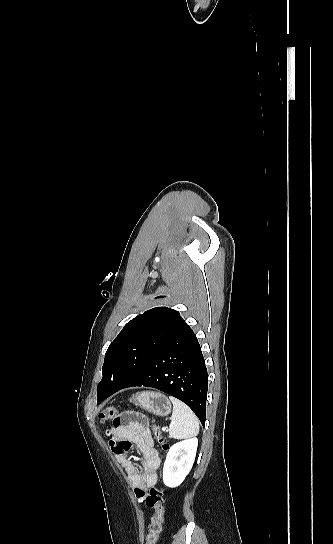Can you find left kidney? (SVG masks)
Returning a JSON list of instances; mask_svg holds the SVG:
<instances>
[{"instance_id":"5707ae66","label":"left kidney","mask_w":333,"mask_h":544,"mask_svg":"<svg viewBox=\"0 0 333 544\" xmlns=\"http://www.w3.org/2000/svg\"><path fill=\"white\" fill-rule=\"evenodd\" d=\"M198 439L179 441L169 449L163 467V482L168 487H177L190 472L197 451Z\"/></svg>"}]
</instances>
